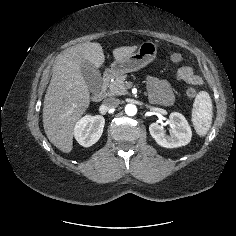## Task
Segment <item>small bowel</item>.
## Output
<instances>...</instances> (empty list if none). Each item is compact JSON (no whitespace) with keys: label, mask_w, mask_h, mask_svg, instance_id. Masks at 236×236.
<instances>
[{"label":"small bowel","mask_w":236,"mask_h":236,"mask_svg":"<svg viewBox=\"0 0 236 236\" xmlns=\"http://www.w3.org/2000/svg\"><path fill=\"white\" fill-rule=\"evenodd\" d=\"M178 78L186 83L198 85L201 78L189 66H183L178 70ZM147 90L152 102L168 106L174 101V94L171 85L165 81L153 76L147 78Z\"/></svg>","instance_id":"1"}]
</instances>
